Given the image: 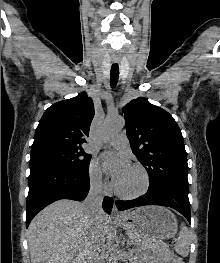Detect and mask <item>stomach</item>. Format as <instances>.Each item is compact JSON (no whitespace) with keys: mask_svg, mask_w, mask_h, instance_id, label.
Masks as SVG:
<instances>
[{"mask_svg":"<svg viewBox=\"0 0 220 263\" xmlns=\"http://www.w3.org/2000/svg\"><path fill=\"white\" fill-rule=\"evenodd\" d=\"M117 221L144 249H152L153 243L173 237L178 228L174 214L161 206L137 208L124 213Z\"/></svg>","mask_w":220,"mask_h":263,"instance_id":"1","label":"stomach"}]
</instances>
